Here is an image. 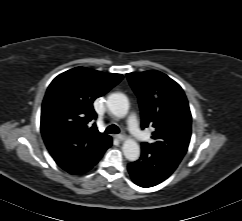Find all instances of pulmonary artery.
Instances as JSON below:
<instances>
[{"label":"pulmonary artery","instance_id":"e3ab8cb5","mask_svg":"<svg viewBox=\"0 0 242 221\" xmlns=\"http://www.w3.org/2000/svg\"><path fill=\"white\" fill-rule=\"evenodd\" d=\"M127 127L130 134L136 141H144L145 140V133L140 129L137 119L134 115H130L127 119Z\"/></svg>","mask_w":242,"mask_h":221}]
</instances>
